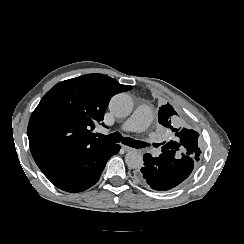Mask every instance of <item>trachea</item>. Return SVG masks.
<instances>
[{
  "mask_svg": "<svg viewBox=\"0 0 244 244\" xmlns=\"http://www.w3.org/2000/svg\"><path fill=\"white\" fill-rule=\"evenodd\" d=\"M97 136L105 141L108 142H113V143H119L120 141L130 147L133 148H145V147H149L150 144L142 142V141H137L131 138H122L121 134L119 132H115L109 135H103V134H97Z\"/></svg>",
  "mask_w": 244,
  "mask_h": 244,
  "instance_id": "obj_1",
  "label": "trachea"
}]
</instances>
